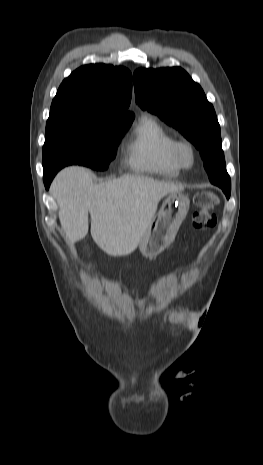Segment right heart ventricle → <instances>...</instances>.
Returning <instances> with one entry per match:
<instances>
[{"instance_id":"right-heart-ventricle-1","label":"right heart ventricle","mask_w":263,"mask_h":465,"mask_svg":"<svg viewBox=\"0 0 263 465\" xmlns=\"http://www.w3.org/2000/svg\"><path fill=\"white\" fill-rule=\"evenodd\" d=\"M174 141L157 120L142 116L126 142L125 162L136 172L177 177L182 167L172 154Z\"/></svg>"}]
</instances>
